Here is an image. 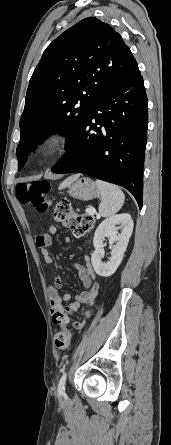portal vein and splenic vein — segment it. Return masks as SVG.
Returning <instances> with one entry per match:
<instances>
[{"label":"portal vein and splenic vein","instance_id":"18ae733b","mask_svg":"<svg viewBox=\"0 0 171 445\" xmlns=\"http://www.w3.org/2000/svg\"><path fill=\"white\" fill-rule=\"evenodd\" d=\"M86 212H87L88 214H90V215H94V214H95V210L92 209V208L87 209Z\"/></svg>","mask_w":171,"mask_h":445}]
</instances>
